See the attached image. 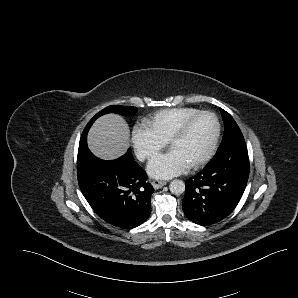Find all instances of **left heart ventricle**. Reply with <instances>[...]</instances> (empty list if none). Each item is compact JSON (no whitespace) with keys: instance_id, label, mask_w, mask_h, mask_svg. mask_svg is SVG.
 Masks as SVG:
<instances>
[{"instance_id":"b2bd125f","label":"left heart ventricle","mask_w":298,"mask_h":298,"mask_svg":"<svg viewBox=\"0 0 298 298\" xmlns=\"http://www.w3.org/2000/svg\"><path fill=\"white\" fill-rule=\"evenodd\" d=\"M212 135V120L203 116L194 121L175 139L169 149L190 165L205 152Z\"/></svg>"}]
</instances>
